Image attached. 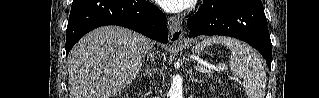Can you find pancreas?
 Here are the masks:
<instances>
[{"instance_id":"cf45deb5","label":"pancreas","mask_w":319,"mask_h":98,"mask_svg":"<svg viewBox=\"0 0 319 98\" xmlns=\"http://www.w3.org/2000/svg\"><path fill=\"white\" fill-rule=\"evenodd\" d=\"M206 73L209 75V74L211 73V71H210V70H208V71H206Z\"/></svg>"}]
</instances>
